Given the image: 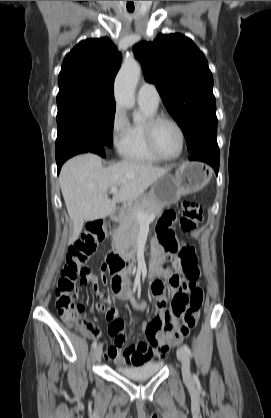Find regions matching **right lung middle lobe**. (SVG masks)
<instances>
[{"mask_svg":"<svg viewBox=\"0 0 271 418\" xmlns=\"http://www.w3.org/2000/svg\"><path fill=\"white\" fill-rule=\"evenodd\" d=\"M57 106L56 152L93 144L112 147L115 104L72 100Z\"/></svg>","mask_w":271,"mask_h":418,"instance_id":"obj_1","label":"right lung middle lobe"}]
</instances>
